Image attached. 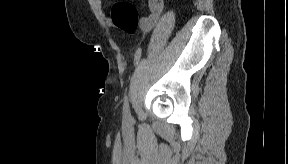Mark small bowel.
Returning a JSON list of instances; mask_svg holds the SVG:
<instances>
[{
	"label": "small bowel",
	"instance_id": "c3829d8e",
	"mask_svg": "<svg viewBox=\"0 0 288 164\" xmlns=\"http://www.w3.org/2000/svg\"><path fill=\"white\" fill-rule=\"evenodd\" d=\"M150 15L143 19L144 30H149L159 19L164 9V3L162 0H150L149 1Z\"/></svg>",
	"mask_w": 288,
	"mask_h": 164
}]
</instances>
